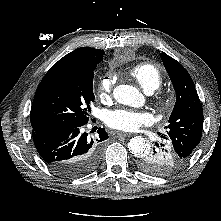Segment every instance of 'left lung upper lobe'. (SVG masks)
I'll list each match as a JSON object with an SVG mask.
<instances>
[{"instance_id": "5c2ea615", "label": "left lung upper lobe", "mask_w": 221, "mask_h": 221, "mask_svg": "<svg viewBox=\"0 0 221 221\" xmlns=\"http://www.w3.org/2000/svg\"><path fill=\"white\" fill-rule=\"evenodd\" d=\"M176 92V103L166 126V136L185 161L192 155L202 136L203 110L193 80L187 70L166 53H161Z\"/></svg>"}]
</instances>
